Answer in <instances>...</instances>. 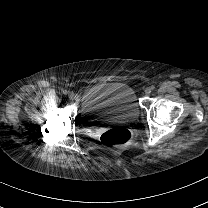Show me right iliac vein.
<instances>
[{
	"label": "right iliac vein",
	"mask_w": 208,
	"mask_h": 208,
	"mask_svg": "<svg viewBox=\"0 0 208 208\" xmlns=\"http://www.w3.org/2000/svg\"><path fill=\"white\" fill-rule=\"evenodd\" d=\"M69 98H70L71 100H74V99L76 98V96H75L74 93H70V94H69Z\"/></svg>",
	"instance_id": "63e3f726"
}]
</instances>
